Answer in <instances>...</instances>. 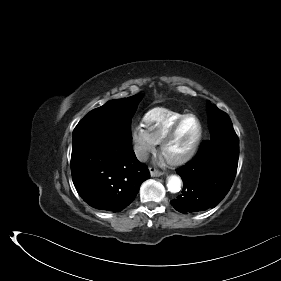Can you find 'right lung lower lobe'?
<instances>
[{"mask_svg":"<svg viewBox=\"0 0 281 281\" xmlns=\"http://www.w3.org/2000/svg\"><path fill=\"white\" fill-rule=\"evenodd\" d=\"M74 186L91 207L120 212L136 197L149 171L136 158L131 142L109 140L72 148Z\"/></svg>","mask_w":281,"mask_h":281,"instance_id":"obj_1","label":"right lung lower lobe"}]
</instances>
